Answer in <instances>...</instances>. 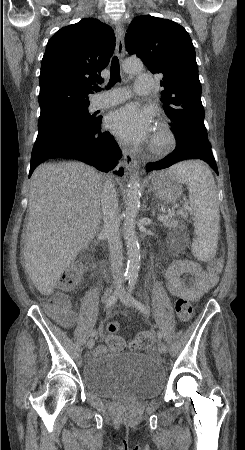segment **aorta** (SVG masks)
Wrapping results in <instances>:
<instances>
[{
    "label": "aorta",
    "instance_id": "762f6f07",
    "mask_svg": "<svg viewBox=\"0 0 245 450\" xmlns=\"http://www.w3.org/2000/svg\"><path fill=\"white\" fill-rule=\"evenodd\" d=\"M143 68L139 59L127 58L123 62V69L127 73H137ZM141 188L137 173H134L128 183L127 204L124 213L123 235L127 247L126 276L136 278L140 266V248L135 231V219L140 207Z\"/></svg>",
    "mask_w": 245,
    "mask_h": 450
}]
</instances>
